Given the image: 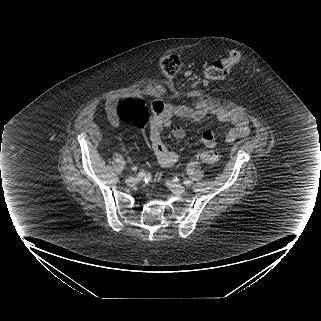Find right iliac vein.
Segmentation results:
<instances>
[{
  "label": "right iliac vein",
  "mask_w": 321,
  "mask_h": 321,
  "mask_svg": "<svg viewBox=\"0 0 321 321\" xmlns=\"http://www.w3.org/2000/svg\"><path fill=\"white\" fill-rule=\"evenodd\" d=\"M126 183L129 185V186H134L135 184H137V179L135 177H129L127 180H126Z\"/></svg>",
  "instance_id": "right-iliac-vein-1"
}]
</instances>
